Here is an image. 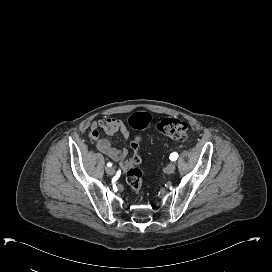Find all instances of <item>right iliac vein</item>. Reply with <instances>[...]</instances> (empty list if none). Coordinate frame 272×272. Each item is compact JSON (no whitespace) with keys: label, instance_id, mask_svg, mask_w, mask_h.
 Wrapping results in <instances>:
<instances>
[{"label":"right iliac vein","instance_id":"obj_1","mask_svg":"<svg viewBox=\"0 0 272 272\" xmlns=\"http://www.w3.org/2000/svg\"><path fill=\"white\" fill-rule=\"evenodd\" d=\"M106 173L109 175H114L115 174V168L114 167H107L106 168Z\"/></svg>","mask_w":272,"mask_h":272}]
</instances>
